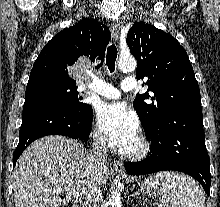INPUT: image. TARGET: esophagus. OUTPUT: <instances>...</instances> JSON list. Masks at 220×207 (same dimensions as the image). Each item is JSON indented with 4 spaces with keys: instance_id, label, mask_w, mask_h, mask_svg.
<instances>
[{
    "instance_id": "34e87169",
    "label": "esophagus",
    "mask_w": 220,
    "mask_h": 207,
    "mask_svg": "<svg viewBox=\"0 0 220 207\" xmlns=\"http://www.w3.org/2000/svg\"><path fill=\"white\" fill-rule=\"evenodd\" d=\"M119 34H120V24L118 21H114L112 24V35H113V38L115 39V41L118 40ZM114 168L117 172L124 173V165L122 162L115 161Z\"/></svg>"
}]
</instances>
